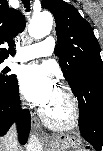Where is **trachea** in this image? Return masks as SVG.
I'll return each mask as SVG.
<instances>
[{
  "label": "trachea",
  "mask_w": 103,
  "mask_h": 151,
  "mask_svg": "<svg viewBox=\"0 0 103 151\" xmlns=\"http://www.w3.org/2000/svg\"><path fill=\"white\" fill-rule=\"evenodd\" d=\"M30 0H22L24 6L27 8L26 11H29V6H30V3H29Z\"/></svg>",
  "instance_id": "3493384b"
}]
</instances>
